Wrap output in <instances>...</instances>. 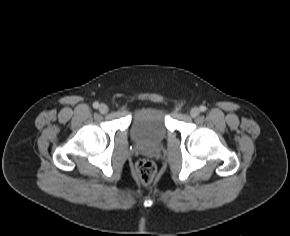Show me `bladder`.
<instances>
[{"instance_id": "1", "label": "bladder", "mask_w": 290, "mask_h": 236, "mask_svg": "<svg viewBox=\"0 0 290 236\" xmlns=\"http://www.w3.org/2000/svg\"><path fill=\"white\" fill-rule=\"evenodd\" d=\"M167 131L166 112L161 107H143L132 117L131 135L139 143H159Z\"/></svg>"}]
</instances>
